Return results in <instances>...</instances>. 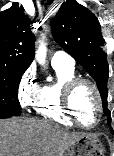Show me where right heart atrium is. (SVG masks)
I'll list each match as a JSON object with an SVG mask.
<instances>
[{"mask_svg": "<svg viewBox=\"0 0 114 156\" xmlns=\"http://www.w3.org/2000/svg\"><path fill=\"white\" fill-rule=\"evenodd\" d=\"M40 91L36 72L33 67L27 68L21 75L18 86L17 96L20 105L23 108H29L34 105Z\"/></svg>", "mask_w": 114, "mask_h": 156, "instance_id": "right-heart-atrium-1", "label": "right heart atrium"}]
</instances>
